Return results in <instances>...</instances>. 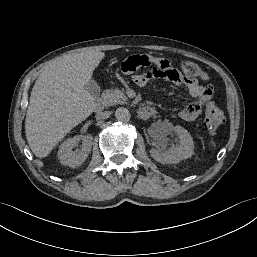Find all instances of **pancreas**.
Here are the masks:
<instances>
[{
	"label": "pancreas",
	"mask_w": 257,
	"mask_h": 257,
	"mask_svg": "<svg viewBox=\"0 0 257 257\" xmlns=\"http://www.w3.org/2000/svg\"><path fill=\"white\" fill-rule=\"evenodd\" d=\"M102 99L106 106H113L117 104H125L128 101L127 96L119 89H107L102 95Z\"/></svg>",
	"instance_id": "1"
}]
</instances>
